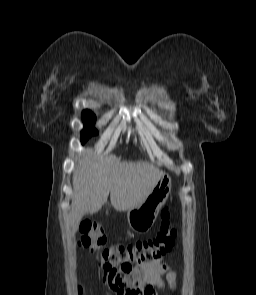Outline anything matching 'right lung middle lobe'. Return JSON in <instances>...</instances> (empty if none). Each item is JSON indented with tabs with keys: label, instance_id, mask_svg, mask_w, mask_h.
Wrapping results in <instances>:
<instances>
[{
	"label": "right lung middle lobe",
	"instance_id": "right-lung-middle-lobe-1",
	"mask_svg": "<svg viewBox=\"0 0 256 295\" xmlns=\"http://www.w3.org/2000/svg\"><path fill=\"white\" fill-rule=\"evenodd\" d=\"M82 118L86 125L81 132V142L84 144L91 136L97 135L98 131L95 128H92V125L95 124L96 117L91 111L84 110Z\"/></svg>",
	"mask_w": 256,
	"mask_h": 295
}]
</instances>
